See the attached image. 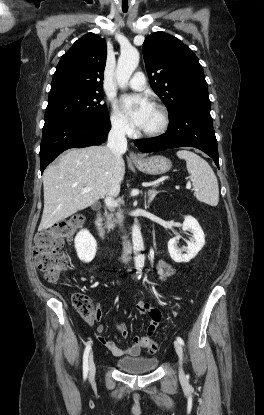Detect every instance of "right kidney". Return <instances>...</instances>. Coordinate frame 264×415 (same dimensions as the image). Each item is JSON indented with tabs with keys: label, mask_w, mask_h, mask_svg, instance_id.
Instances as JSON below:
<instances>
[{
	"label": "right kidney",
	"mask_w": 264,
	"mask_h": 415,
	"mask_svg": "<svg viewBox=\"0 0 264 415\" xmlns=\"http://www.w3.org/2000/svg\"><path fill=\"white\" fill-rule=\"evenodd\" d=\"M75 249L79 259L85 263L91 262L97 251V242L87 230H81L75 237Z\"/></svg>",
	"instance_id": "obj_1"
}]
</instances>
